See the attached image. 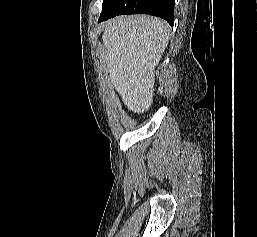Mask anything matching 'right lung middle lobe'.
<instances>
[{"instance_id": "dd1d6c3e", "label": "right lung middle lobe", "mask_w": 257, "mask_h": 237, "mask_svg": "<svg viewBox=\"0 0 257 237\" xmlns=\"http://www.w3.org/2000/svg\"><path fill=\"white\" fill-rule=\"evenodd\" d=\"M114 0H103V4H102V8L108 6L111 2H113Z\"/></svg>"}]
</instances>
